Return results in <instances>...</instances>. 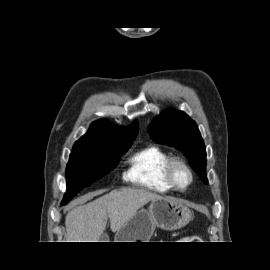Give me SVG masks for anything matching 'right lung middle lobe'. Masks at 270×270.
Returning <instances> with one entry per match:
<instances>
[{
  "mask_svg": "<svg viewBox=\"0 0 270 270\" xmlns=\"http://www.w3.org/2000/svg\"><path fill=\"white\" fill-rule=\"evenodd\" d=\"M132 142L105 146H73L66 168L67 191L62 205L80 190L100 179L118 165V159Z\"/></svg>",
  "mask_w": 270,
  "mask_h": 270,
  "instance_id": "dd1d6c3e",
  "label": "right lung middle lobe"
}]
</instances>
